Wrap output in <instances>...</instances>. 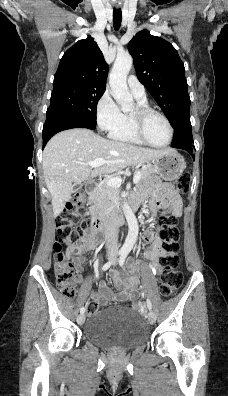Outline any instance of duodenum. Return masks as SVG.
I'll list each match as a JSON object with an SVG mask.
<instances>
[{
  "label": "duodenum",
  "mask_w": 228,
  "mask_h": 396,
  "mask_svg": "<svg viewBox=\"0 0 228 396\" xmlns=\"http://www.w3.org/2000/svg\"><path fill=\"white\" fill-rule=\"evenodd\" d=\"M94 193V187L89 185L87 188V194L92 196ZM139 204L130 203V207L136 209ZM113 216L110 218H96L94 222V229L97 233L102 235H116L118 226L124 222V211L121 207L113 208Z\"/></svg>",
  "instance_id": "1"
}]
</instances>
